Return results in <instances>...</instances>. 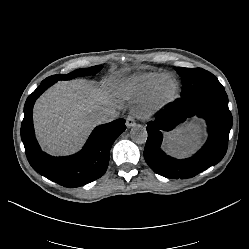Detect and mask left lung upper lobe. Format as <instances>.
<instances>
[{"instance_id":"left-lung-upper-lobe-1","label":"left lung upper lobe","mask_w":249,"mask_h":249,"mask_svg":"<svg viewBox=\"0 0 249 249\" xmlns=\"http://www.w3.org/2000/svg\"><path fill=\"white\" fill-rule=\"evenodd\" d=\"M176 71L182 78L183 89L181 97L205 88L222 87L221 83L212 73L202 68L190 69L176 67Z\"/></svg>"}]
</instances>
